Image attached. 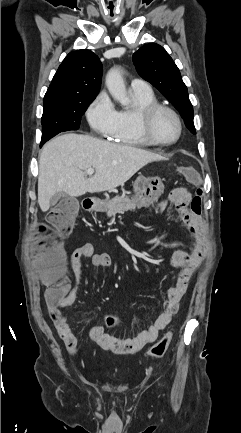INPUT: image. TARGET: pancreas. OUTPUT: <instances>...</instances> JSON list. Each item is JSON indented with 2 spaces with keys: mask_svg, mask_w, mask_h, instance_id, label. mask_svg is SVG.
<instances>
[{
  "mask_svg": "<svg viewBox=\"0 0 241 433\" xmlns=\"http://www.w3.org/2000/svg\"><path fill=\"white\" fill-rule=\"evenodd\" d=\"M142 205L137 204L133 199L122 195L116 196L111 201H109L103 208L108 217H113L116 214L127 212L129 210H135L140 208Z\"/></svg>",
  "mask_w": 241,
  "mask_h": 433,
  "instance_id": "pancreas-1",
  "label": "pancreas"
}]
</instances>
